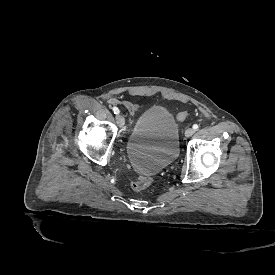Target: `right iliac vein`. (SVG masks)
<instances>
[{"label": "right iliac vein", "mask_w": 275, "mask_h": 275, "mask_svg": "<svg viewBox=\"0 0 275 275\" xmlns=\"http://www.w3.org/2000/svg\"><path fill=\"white\" fill-rule=\"evenodd\" d=\"M116 121H117V124H118L120 127L124 126V124H125V120H124V118H123L121 115H118V116L116 117Z\"/></svg>", "instance_id": "63e3f726"}]
</instances>
